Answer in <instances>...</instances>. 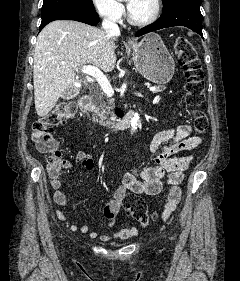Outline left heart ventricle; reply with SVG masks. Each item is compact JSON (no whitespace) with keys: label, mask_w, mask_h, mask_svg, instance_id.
I'll use <instances>...</instances> for the list:
<instances>
[{"label":"left heart ventricle","mask_w":240,"mask_h":281,"mask_svg":"<svg viewBox=\"0 0 240 281\" xmlns=\"http://www.w3.org/2000/svg\"><path fill=\"white\" fill-rule=\"evenodd\" d=\"M129 11L135 19H146L153 11V0H131Z\"/></svg>","instance_id":"b2bd125f"}]
</instances>
